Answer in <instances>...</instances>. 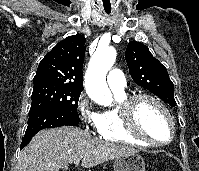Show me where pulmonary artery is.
<instances>
[{
  "label": "pulmonary artery",
  "mask_w": 199,
  "mask_h": 171,
  "mask_svg": "<svg viewBox=\"0 0 199 171\" xmlns=\"http://www.w3.org/2000/svg\"><path fill=\"white\" fill-rule=\"evenodd\" d=\"M107 83L112 91H123L126 85L123 72L117 68L111 69L107 76Z\"/></svg>",
  "instance_id": "e3ab8cb5"
}]
</instances>
